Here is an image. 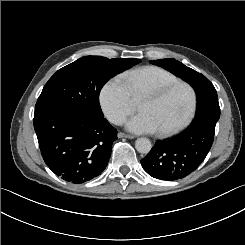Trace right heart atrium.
<instances>
[{"label":"right heart atrium","mask_w":245,"mask_h":245,"mask_svg":"<svg viewBox=\"0 0 245 245\" xmlns=\"http://www.w3.org/2000/svg\"><path fill=\"white\" fill-rule=\"evenodd\" d=\"M99 99L104 113L114 124H121L131 113L133 98L129 88L119 77H112L105 82Z\"/></svg>","instance_id":"1"}]
</instances>
